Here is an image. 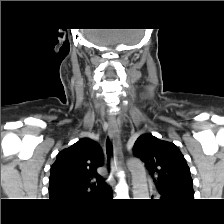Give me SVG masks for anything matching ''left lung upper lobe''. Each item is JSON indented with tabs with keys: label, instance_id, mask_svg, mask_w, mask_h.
Segmentation results:
<instances>
[{
	"label": "left lung upper lobe",
	"instance_id": "5c2ea615",
	"mask_svg": "<svg viewBox=\"0 0 224 224\" xmlns=\"http://www.w3.org/2000/svg\"><path fill=\"white\" fill-rule=\"evenodd\" d=\"M133 152L155 176L154 181L160 193L185 195L189 199L193 198L190 169L176 145L162 141L151 134H143L135 142Z\"/></svg>",
	"mask_w": 224,
	"mask_h": 224
}]
</instances>
